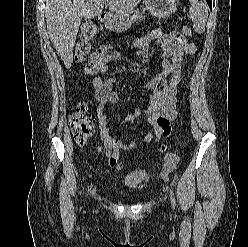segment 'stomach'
Instances as JSON below:
<instances>
[{"instance_id": "obj_1", "label": "stomach", "mask_w": 248, "mask_h": 247, "mask_svg": "<svg viewBox=\"0 0 248 247\" xmlns=\"http://www.w3.org/2000/svg\"><path fill=\"white\" fill-rule=\"evenodd\" d=\"M144 3L151 14L161 18L170 16L176 10L175 0H144ZM132 15H137V12L116 15L106 23V26L114 32H123L131 27Z\"/></svg>"}]
</instances>
